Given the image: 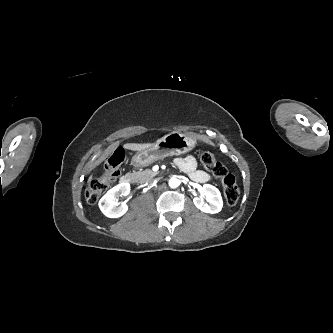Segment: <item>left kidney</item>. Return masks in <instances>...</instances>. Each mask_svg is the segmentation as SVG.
I'll use <instances>...</instances> for the list:
<instances>
[{"mask_svg":"<svg viewBox=\"0 0 333 333\" xmlns=\"http://www.w3.org/2000/svg\"><path fill=\"white\" fill-rule=\"evenodd\" d=\"M201 195L208 203H206L201 197H195L193 202L199 210L210 214L218 213L221 211L223 207V201L220 191L216 187L210 184H204L201 188Z\"/></svg>","mask_w":333,"mask_h":333,"instance_id":"5707ae66","label":"left kidney"}]
</instances>
